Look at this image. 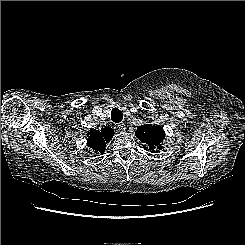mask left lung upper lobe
<instances>
[{
    "mask_svg": "<svg viewBox=\"0 0 245 245\" xmlns=\"http://www.w3.org/2000/svg\"><path fill=\"white\" fill-rule=\"evenodd\" d=\"M135 135L144 143V148L152 153L159 152L165 137L163 128L159 125L145 124L138 127Z\"/></svg>",
    "mask_w": 245,
    "mask_h": 245,
    "instance_id": "1",
    "label": "left lung upper lobe"
}]
</instances>
